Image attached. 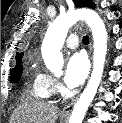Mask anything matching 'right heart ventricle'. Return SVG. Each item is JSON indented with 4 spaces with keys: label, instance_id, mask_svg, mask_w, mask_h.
Returning a JSON list of instances; mask_svg holds the SVG:
<instances>
[{
    "label": "right heart ventricle",
    "instance_id": "e07e8e85",
    "mask_svg": "<svg viewBox=\"0 0 122 123\" xmlns=\"http://www.w3.org/2000/svg\"><path fill=\"white\" fill-rule=\"evenodd\" d=\"M30 95L38 101H46L51 96L43 74L34 73L30 86Z\"/></svg>",
    "mask_w": 122,
    "mask_h": 123
}]
</instances>
